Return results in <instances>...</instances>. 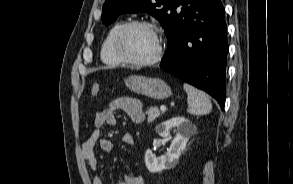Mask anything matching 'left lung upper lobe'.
<instances>
[{
    "label": "left lung upper lobe",
    "instance_id": "5c2ea615",
    "mask_svg": "<svg viewBox=\"0 0 293 184\" xmlns=\"http://www.w3.org/2000/svg\"><path fill=\"white\" fill-rule=\"evenodd\" d=\"M179 0H105L102 21L112 23L120 14L147 12L159 20L165 34L171 25L175 6Z\"/></svg>",
    "mask_w": 293,
    "mask_h": 184
}]
</instances>
